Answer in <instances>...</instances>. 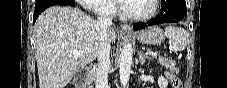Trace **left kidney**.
Returning <instances> with one entry per match:
<instances>
[{"mask_svg": "<svg viewBox=\"0 0 227 88\" xmlns=\"http://www.w3.org/2000/svg\"><path fill=\"white\" fill-rule=\"evenodd\" d=\"M158 84L160 88H167L168 82L163 76H160L158 79Z\"/></svg>", "mask_w": 227, "mask_h": 88, "instance_id": "1", "label": "left kidney"}]
</instances>
